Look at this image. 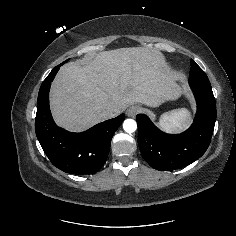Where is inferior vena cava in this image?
I'll list each match as a JSON object with an SVG mask.
<instances>
[{"mask_svg":"<svg viewBox=\"0 0 236 236\" xmlns=\"http://www.w3.org/2000/svg\"><path fill=\"white\" fill-rule=\"evenodd\" d=\"M120 113L119 110L115 109V110H109L107 111L105 114H104V117L106 119H110V118H113L115 116H117L118 114Z\"/></svg>","mask_w":236,"mask_h":236,"instance_id":"602c4592","label":"inferior vena cava"}]
</instances>
